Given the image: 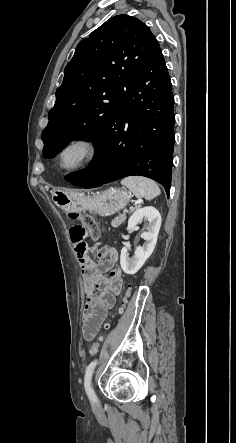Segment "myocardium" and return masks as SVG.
Wrapping results in <instances>:
<instances>
[{
    "label": "myocardium",
    "instance_id": "f54148a6",
    "mask_svg": "<svg viewBox=\"0 0 236 443\" xmlns=\"http://www.w3.org/2000/svg\"><path fill=\"white\" fill-rule=\"evenodd\" d=\"M78 147L83 151L82 158L73 165H64V155L71 148ZM99 153L97 141L89 135H79L66 141L60 148L57 156L58 166L66 172L82 170L92 164Z\"/></svg>",
    "mask_w": 236,
    "mask_h": 443
}]
</instances>
